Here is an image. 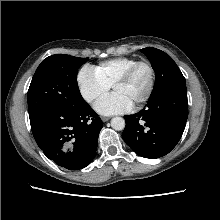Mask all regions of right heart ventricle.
Masks as SVG:
<instances>
[{
    "label": "right heart ventricle",
    "mask_w": 220,
    "mask_h": 220,
    "mask_svg": "<svg viewBox=\"0 0 220 220\" xmlns=\"http://www.w3.org/2000/svg\"><path fill=\"white\" fill-rule=\"evenodd\" d=\"M138 61L132 57H116L105 60L93 67L94 73L111 87L124 72Z\"/></svg>",
    "instance_id": "right-heart-ventricle-1"
}]
</instances>
